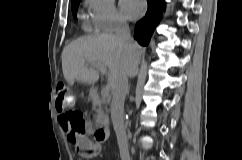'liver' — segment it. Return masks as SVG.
I'll return each instance as SVG.
<instances>
[{"instance_id": "liver-1", "label": "liver", "mask_w": 242, "mask_h": 160, "mask_svg": "<svg viewBox=\"0 0 242 160\" xmlns=\"http://www.w3.org/2000/svg\"><path fill=\"white\" fill-rule=\"evenodd\" d=\"M128 53L127 48L116 35L102 34L76 39L67 45L62 52L64 78L69 85H73L75 81L89 85L94 84L99 79V72L92 67L102 65L109 69L108 81L113 90L118 73H120L119 70L124 68L126 58H135L138 64L144 50L136 44L135 56L129 57Z\"/></svg>"}]
</instances>
